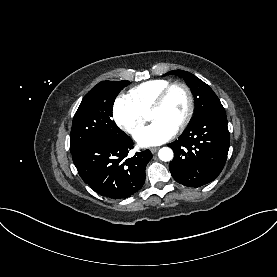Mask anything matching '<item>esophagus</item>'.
Returning <instances> with one entry per match:
<instances>
[{
  "instance_id": "esophagus-1",
  "label": "esophagus",
  "mask_w": 277,
  "mask_h": 277,
  "mask_svg": "<svg viewBox=\"0 0 277 277\" xmlns=\"http://www.w3.org/2000/svg\"><path fill=\"white\" fill-rule=\"evenodd\" d=\"M158 149L159 148H157V147H152V148H150V151H151V153H156L157 151H158Z\"/></svg>"
}]
</instances>
